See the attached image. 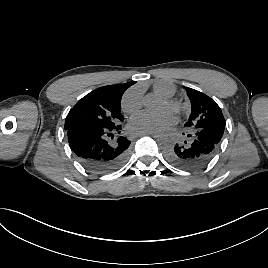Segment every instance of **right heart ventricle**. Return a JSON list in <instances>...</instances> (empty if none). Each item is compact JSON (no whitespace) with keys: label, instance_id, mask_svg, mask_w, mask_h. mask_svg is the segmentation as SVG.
<instances>
[{"label":"right heart ventricle","instance_id":"right-heart-ventricle-1","mask_svg":"<svg viewBox=\"0 0 268 268\" xmlns=\"http://www.w3.org/2000/svg\"><path fill=\"white\" fill-rule=\"evenodd\" d=\"M154 90L165 99L172 98L176 93V90L173 85L163 81L155 83Z\"/></svg>","mask_w":268,"mask_h":268}]
</instances>
